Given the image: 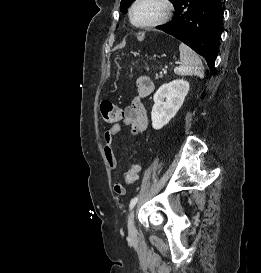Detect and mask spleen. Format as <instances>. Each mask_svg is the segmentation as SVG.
<instances>
[{
    "label": "spleen",
    "mask_w": 261,
    "mask_h": 273,
    "mask_svg": "<svg viewBox=\"0 0 261 273\" xmlns=\"http://www.w3.org/2000/svg\"><path fill=\"white\" fill-rule=\"evenodd\" d=\"M181 65L174 69L175 74L179 76H198L204 77V67L199 56L187 45H179Z\"/></svg>",
    "instance_id": "obj_1"
}]
</instances>
